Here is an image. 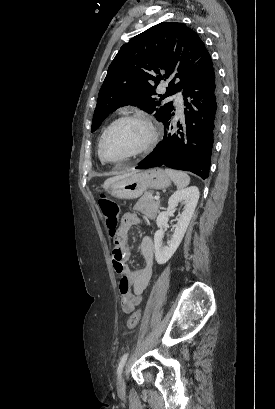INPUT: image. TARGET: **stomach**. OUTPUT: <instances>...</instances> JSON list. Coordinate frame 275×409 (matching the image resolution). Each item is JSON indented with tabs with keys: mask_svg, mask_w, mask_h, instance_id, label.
Instances as JSON below:
<instances>
[{
	"mask_svg": "<svg viewBox=\"0 0 275 409\" xmlns=\"http://www.w3.org/2000/svg\"><path fill=\"white\" fill-rule=\"evenodd\" d=\"M171 180L163 168H149L118 178L108 184V192L116 198H138L148 188H167Z\"/></svg>",
	"mask_w": 275,
	"mask_h": 409,
	"instance_id": "stomach-1",
	"label": "stomach"
}]
</instances>
